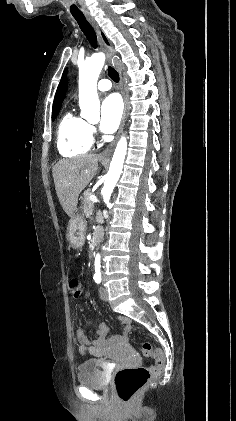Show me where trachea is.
Instances as JSON below:
<instances>
[{
	"mask_svg": "<svg viewBox=\"0 0 236 421\" xmlns=\"http://www.w3.org/2000/svg\"><path fill=\"white\" fill-rule=\"evenodd\" d=\"M75 20L77 21L81 31L84 33L85 37L87 38L88 42L93 48H98V41L97 36L95 33L94 28L90 25V23L86 20L84 15H73ZM108 75L114 82H119V73L116 70L108 66Z\"/></svg>",
	"mask_w": 236,
	"mask_h": 421,
	"instance_id": "3493384b",
	"label": "trachea"
}]
</instances>
